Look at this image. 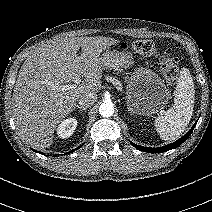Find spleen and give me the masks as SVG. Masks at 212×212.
<instances>
[{"label": "spleen", "instance_id": "spleen-1", "mask_svg": "<svg viewBox=\"0 0 212 212\" xmlns=\"http://www.w3.org/2000/svg\"><path fill=\"white\" fill-rule=\"evenodd\" d=\"M195 90L192 76L182 68L174 91V105L155 120V127L161 139L177 140L189 125L194 110Z\"/></svg>", "mask_w": 212, "mask_h": 212}]
</instances>
